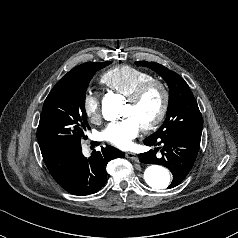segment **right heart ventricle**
<instances>
[{
  "label": "right heart ventricle",
  "instance_id": "1",
  "mask_svg": "<svg viewBox=\"0 0 238 238\" xmlns=\"http://www.w3.org/2000/svg\"><path fill=\"white\" fill-rule=\"evenodd\" d=\"M153 79V76L141 69L120 65L108 69L100 76V83L125 97L130 96L142 83Z\"/></svg>",
  "mask_w": 238,
  "mask_h": 238
}]
</instances>
